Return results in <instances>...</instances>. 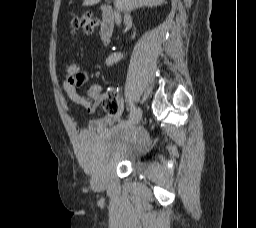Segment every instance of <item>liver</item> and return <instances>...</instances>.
<instances>
[{
	"instance_id": "liver-1",
	"label": "liver",
	"mask_w": 256,
	"mask_h": 228,
	"mask_svg": "<svg viewBox=\"0 0 256 228\" xmlns=\"http://www.w3.org/2000/svg\"><path fill=\"white\" fill-rule=\"evenodd\" d=\"M100 0H84L83 6L97 4ZM165 0H115V7L120 10L132 11L141 7H154L161 5Z\"/></svg>"
}]
</instances>
